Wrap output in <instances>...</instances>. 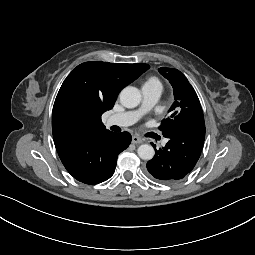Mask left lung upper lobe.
<instances>
[{
    "label": "left lung upper lobe",
    "mask_w": 255,
    "mask_h": 255,
    "mask_svg": "<svg viewBox=\"0 0 255 255\" xmlns=\"http://www.w3.org/2000/svg\"><path fill=\"white\" fill-rule=\"evenodd\" d=\"M159 72L170 81L175 99L159 126L165 136L171 129L203 116V111L195 90L179 70L161 67Z\"/></svg>",
    "instance_id": "obj_1"
}]
</instances>
